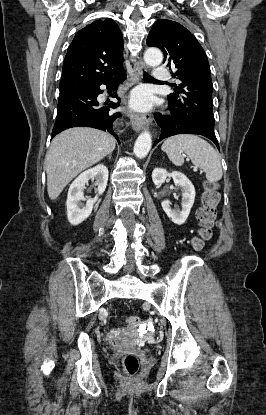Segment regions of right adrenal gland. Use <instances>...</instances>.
<instances>
[{
	"instance_id": "right-adrenal-gland-1",
	"label": "right adrenal gland",
	"mask_w": 266,
	"mask_h": 415,
	"mask_svg": "<svg viewBox=\"0 0 266 415\" xmlns=\"http://www.w3.org/2000/svg\"><path fill=\"white\" fill-rule=\"evenodd\" d=\"M109 160H111V154L109 155Z\"/></svg>"
}]
</instances>
